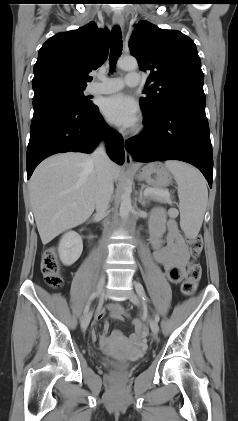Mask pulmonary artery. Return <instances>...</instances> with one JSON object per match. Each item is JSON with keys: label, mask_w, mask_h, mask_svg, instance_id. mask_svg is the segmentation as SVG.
<instances>
[{"label": "pulmonary artery", "mask_w": 238, "mask_h": 421, "mask_svg": "<svg viewBox=\"0 0 238 421\" xmlns=\"http://www.w3.org/2000/svg\"><path fill=\"white\" fill-rule=\"evenodd\" d=\"M141 77L137 72L128 73L125 78H102L90 84L88 91L90 93L107 94L121 90L124 85L137 86Z\"/></svg>", "instance_id": "pulmonary-artery-1"}]
</instances>
